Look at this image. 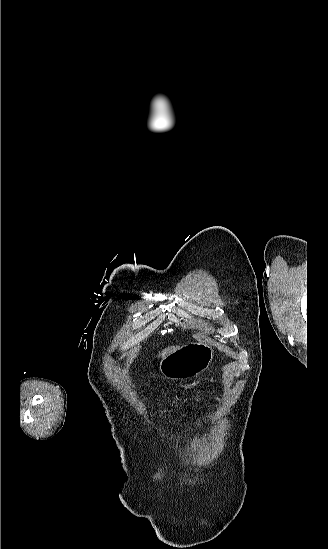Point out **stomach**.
Segmentation results:
<instances>
[{
    "mask_svg": "<svg viewBox=\"0 0 328 549\" xmlns=\"http://www.w3.org/2000/svg\"><path fill=\"white\" fill-rule=\"evenodd\" d=\"M214 357V349L208 343H188L174 353L163 357L159 371L172 381H186L207 371Z\"/></svg>",
    "mask_w": 328,
    "mask_h": 549,
    "instance_id": "stomach-1",
    "label": "stomach"
}]
</instances>
